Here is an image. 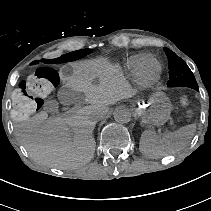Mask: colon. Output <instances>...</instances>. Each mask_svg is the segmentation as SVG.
Returning a JSON list of instances; mask_svg holds the SVG:
<instances>
[{
    "label": "colon",
    "instance_id": "obj_1",
    "mask_svg": "<svg viewBox=\"0 0 211 211\" xmlns=\"http://www.w3.org/2000/svg\"><path fill=\"white\" fill-rule=\"evenodd\" d=\"M59 74L48 67L38 68L27 79L21 81L12 95V116L15 120L24 121L40 111L44 100L58 86ZM181 103L188 107L186 97H181ZM191 109H187V115L192 116Z\"/></svg>",
    "mask_w": 211,
    "mask_h": 211
}]
</instances>
